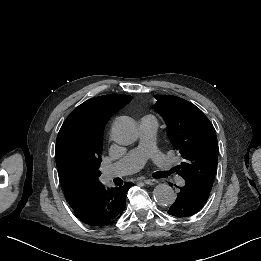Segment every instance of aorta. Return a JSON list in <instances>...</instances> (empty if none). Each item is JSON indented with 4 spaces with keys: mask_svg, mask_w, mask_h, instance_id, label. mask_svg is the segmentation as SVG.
<instances>
[{
    "mask_svg": "<svg viewBox=\"0 0 261 261\" xmlns=\"http://www.w3.org/2000/svg\"><path fill=\"white\" fill-rule=\"evenodd\" d=\"M112 136L120 145H130L137 140V126L130 117H119L112 126ZM154 200L162 206H170L176 200V194L171 186L162 183L153 190Z\"/></svg>",
    "mask_w": 261,
    "mask_h": 261,
    "instance_id": "762f6f07",
    "label": "aorta"
}]
</instances>
